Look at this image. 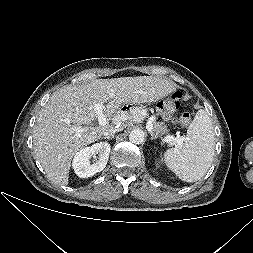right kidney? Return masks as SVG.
Listing matches in <instances>:
<instances>
[{
  "label": "right kidney",
  "mask_w": 253,
  "mask_h": 253,
  "mask_svg": "<svg viewBox=\"0 0 253 253\" xmlns=\"http://www.w3.org/2000/svg\"><path fill=\"white\" fill-rule=\"evenodd\" d=\"M110 153V144L107 142H99L90 147L81 149L73 159V169L80 178L91 177L101 172L107 164ZM98 154L96 162L91 164L92 156Z\"/></svg>",
  "instance_id": "ca27d5eb"
}]
</instances>
